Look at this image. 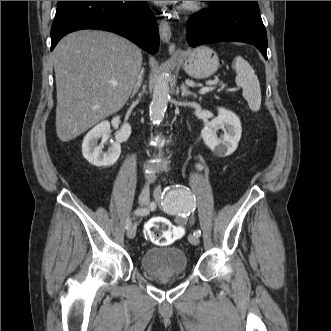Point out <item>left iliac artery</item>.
<instances>
[{
  "label": "left iliac artery",
  "instance_id": "obj_1",
  "mask_svg": "<svg viewBox=\"0 0 331 331\" xmlns=\"http://www.w3.org/2000/svg\"><path fill=\"white\" fill-rule=\"evenodd\" d=\"M164 193L162 206L167 213L186 219L194 212L195 196L187 187L174 185L167 188ZM194 235L199 237L201 231L196 230Z\"/></svg>",
  "mask_w": 331,
  "mask_h": 331
}]
</instances>
